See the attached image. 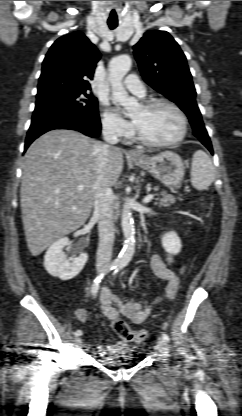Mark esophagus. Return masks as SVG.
<instances>
[{
	"instance_id": "obj_1",
	"label": "esophagus",
	"mask_w": 242,
	"mask_h": 416,
	"mask_svg": "<svg viewBox=\"0 0 242 416\" xmlns=\"http://www.w3.org/2000/svg\"><path fill=\"white\" fill-rule=\"evenodd\" d=\"M126 154H127V156L132 157V158H141L142 157V155L139 152L135 151V150H128L126 152Z\"/></svg>"
}]
</instances>
